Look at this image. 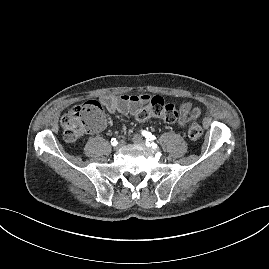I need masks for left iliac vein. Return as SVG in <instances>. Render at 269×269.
<instances>
[{"label":"left iliac vein","mask_w":269,"mask_h":269,"mask_svg":"<svg viewBox=\"0 0 269 269\" xmlns=\"http://www.w3.org/2000/svg\"><path fill=\"white\" fill-rule=\"evenodd\" d=\"M132 140H133V142H134L135 144H140V143L143 142V137H142L141 135H139V134H135V135L133 136Z\"/></svg>","instance_id":"obj_1"}]
</instances>
